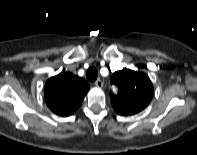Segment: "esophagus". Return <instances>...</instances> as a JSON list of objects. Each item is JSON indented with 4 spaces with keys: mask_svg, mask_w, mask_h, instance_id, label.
<instances>
[{
    "mask_svg": "<svg viewBox=\"0 0 197 155\" xmlns=\"http://www.w3.org/2000/svg\"><path fill=\"white\" fill-rule=\"evenodd\" d=\"M94 84L97 88H102L103 86V82L100 79H98Z\"/></svg>",
    "mask_w": 197,
    "mask_h": 155,
    "instance_id": "34e87169",
    "label": "esophagus"
}]
</instances>
